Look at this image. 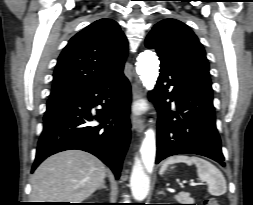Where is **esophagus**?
I'll return each instance as SVG.
<instances>
[{
    "mask_svg": "<svg viewBox=\"0 0 253 205\" xmlns=\"http://www.w3.org/2000/svg\"><path fill=\"white\" fill-rule=\"evenodd\" d=\"M143 91L137 87L136 85L133 86L132 89V100H133V116L131 119L132 129L141 133L144 129V120L142 116H140L137 111L135 110V106L138 102L142 100Z\"/></svg>",
    "mask_w": 253,
    "mask_h": 205,
    "instance_id": "obj_1",
    "label": "esophagus"
}]
</instances>
